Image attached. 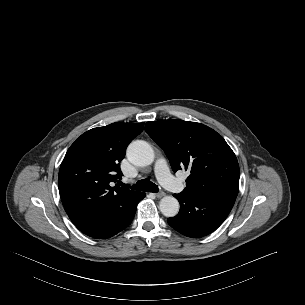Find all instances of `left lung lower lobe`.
Segmentation results:
<instances>
[{
  "mask_svg": "<svg viewBox=\"0 0 305 305\" xmlns=\"http://www.w3.org/2000/svg\"><path fill=\"white\" fill-rule=\"evenodd\" d=\"M179 213L168 218L169 225L181 234L199 238L216 230L226 219L236 200L233 196H186L174 194Z\"/></svg>",
  "mask_w": 305,
  "mask_h": 305,
  "instance_id": "1",
  "label": "left lung lower lobe"
}]
</instances>
